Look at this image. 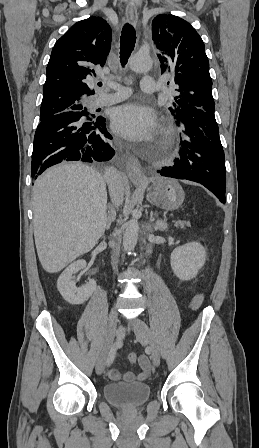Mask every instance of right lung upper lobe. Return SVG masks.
<instances>
[{
    "label": "right lung upper lobe",
    "mask_w": 259,
    "mask_h": 448,
    "mask_svg": "<svg viewBox=\"0 0 259 448\" xmlns=\"http://www.w3.org/2000/svg\"><path fill=\"white\" fill-rule=\"evenodd\" d=\"M112 32L101 17L75 23L55 43L46 69L40 114L82 105L94 94L87 81L103 67L111 47Z\"/></svg>",
    "instance_id": "cb5924a9"
}]
</instances>
